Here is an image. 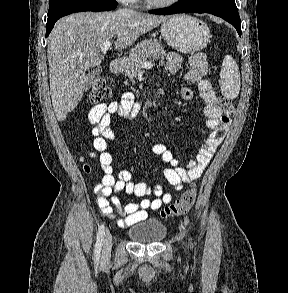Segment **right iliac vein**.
Returning <instances> with one entry per match:
<instances>
[{"instance_id": "right-iliac-vein-1", "label": "right iliac vein", "mask_w": 288, "mask_h": 293, "mask_svg": "<svg viewBox=\"0 0 288 293\" xmlns=\"http://www.w3.org/2000/svg\"><path fill=\"white\" fill-rule=\"evenodd\" d=\"M111 247H112V236L107 233L104 239L103 244V251H102V259L107 260L111 253Z\"/></svg>"}]
</instances>
